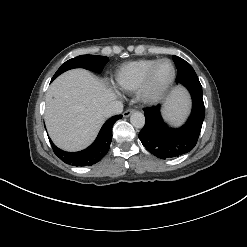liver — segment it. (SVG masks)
Here are the masks:
<instances>
[{
    "instance_id": "liver-1",
    "label": "liver",
    "mask_w": 247,
    "mask_h": 247,
    "mask_svg": "<svg viewBox=\"0 0 247 247\" xmlns=\"http://www.w3.org/2000/svg\"><path fill=\"white\" fill-rule=\"evenodd\" d=\"M114 100V93L89 71L74 69L63 73L46 95L45 123L52 141L67 151L87 147L105 121L104 108ZM165 111L174 121L186 118L189 99L183 89L171 91Z\"/></svg>"
}]
</instances>
